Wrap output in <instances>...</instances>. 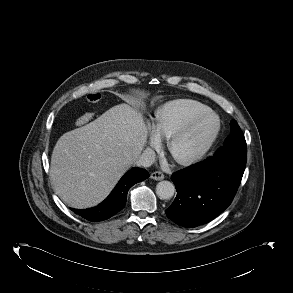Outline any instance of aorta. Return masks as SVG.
I'll list each match as a JSON object with an SVG mask.
<instances>
[{
	"label": "aorta",
	"mask_w": 293,
	"mask_h": 293,
	"mask_svg": "<svg viewBox=\"0 0 293 293\" xmlns=\"http://www.w3.org/2000/svg\"><path fill=\"white\" fill-rule=\"evenodd\" d=\"M175 186L170 181H161L156 185V194L160 199L168 200L173 197Z\"/></svg>",
	"instance_id": "obj_1"
}]
</instances>
